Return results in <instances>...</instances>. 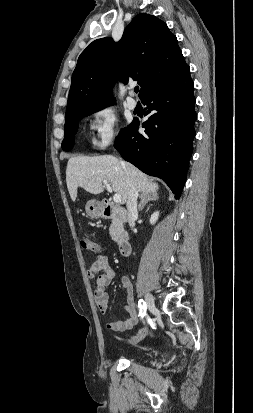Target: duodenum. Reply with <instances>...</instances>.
Instances as JSON below:
<instances>
[{
	"instance_id": "410a0bca",
	"label": "duodenum",
	"mask_w": 253,
	"mask_h": 413,
	"mask_svg": "<svg viewBox=\"0 0 253 413\" xmlns=\"http://www.w3.org/2000/svg\"><path fill=\"white\" fill-rule=\"evenodd\" d=\"M101 213L105 218L118 219L120 221L127 220V212L125 209L116 206L108 201H104L100 206ZM119 252L122 256H128L131 252V245L126 235H120L117 238Z\"/></svg>"
}]
</instances>
